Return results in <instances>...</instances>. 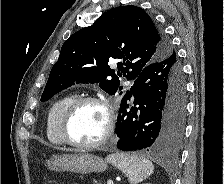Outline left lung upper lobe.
I'll list each match as a JSON object with an SVG mask.
<instances>
[{"label":"left lung upper lobe","mask_w":224,"mask_h":184,"mask_svg":"<svg viewBox=\"0 0 224 184\" xmlns=\"http://www.w3.org/2000/svg\"><path fill=\"white\" fill-rule=\"evenodd\" d=\"M172 54L176 52L169 41L143 9L113 8L66 40L51 69L41 101L49 100L74 81L98 82L104 91L113 95L122 90L119 76L134 79L149 64ZM113 59L123 60L117 63V74L108 65ZM177 61L180 63L178 58ZM108 76L112 79H107Z\"/></svg>","instance_id":"left-lung-upper-lobe-1"}]
</instances>
